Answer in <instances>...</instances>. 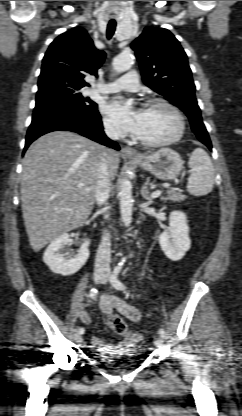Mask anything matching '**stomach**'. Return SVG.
<instances>
[{"label":"stomach","mask_w":242,"mask_h":416,"mask_svg":"<svg viewBox=\"0 0 242 416\" xmlns=\"http://www.w3.org/2000/svg\"><path fill=\"white\" fill-rule=\"evenodd\" d=\"M134 162L165 181L175 179L183 168L180 155L170 148H161L150 154H144L141 158L134 159Z\"/></svg>","instance_id":"obj_1"}]
</instances>
